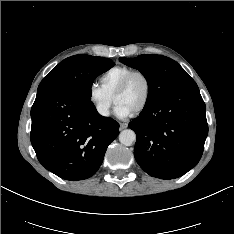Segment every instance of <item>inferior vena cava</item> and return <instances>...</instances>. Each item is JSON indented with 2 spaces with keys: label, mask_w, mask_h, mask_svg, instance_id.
<instances>
[{
  "label": "inferior vena cava",
  "mask_w": 234,
  "mask_h": 234,
  "mask_svg": "<svg viewBox=\"0 0 234 234\" xmlns=\"http://www.w3.org/2000/svg\"><path fill=\"white\" fill-rule=\"evenodd\" d=\"M97 110L102 116H109V111H108V109L106 107L98 106Z\"/></svg>",
  "instance_id": "obj_1"
}]
</instances>
